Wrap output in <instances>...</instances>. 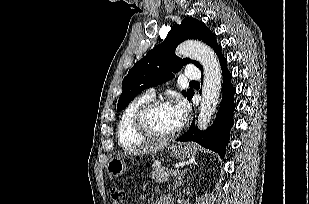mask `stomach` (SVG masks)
<instances>
[{"mask_svg":"<svg viewBox=\"0 0 309 204\" xmlns=\"http://www.w3.org/2000/svg\"><path fill=\"white\" fill-rule=\"evenodd\" d=\"M171 157L176 159L189 158L197 152L193 143H178L168 147ZM130 157L128 155H117L107 163L106 170L110 176L120 177L130 169Z\"/></svg>","mask_w":309,"mask_h":204,"instance_id":"obj_1","label":"stomach"}]
</instances>
